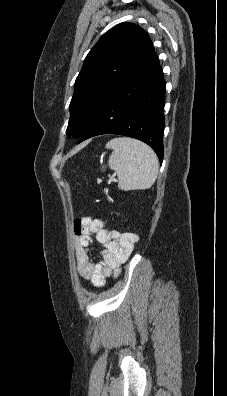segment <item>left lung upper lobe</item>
<instances>
[{
  "label": "left lung upper lobe",
  "instance_id": "obj_1",
  "mask_svg": "<svg viewBox=\"0 0 227 396\" xmlns=\"http://www.w3.org/2000/svg\"><path fill=\"white\" fill-rule=\"evenodd\" d=\"M149 35L133 23L106 32L86 56L75 81L67 134L79 138L104 99L152 51Z\"/></svg>",
  "mask_w": 227,
  "mask_h": 396
}]
</instances>
